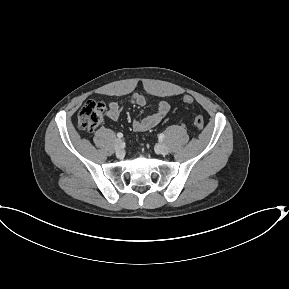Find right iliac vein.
<instances>
[{"instance_id": "right-iliac-vein-1", "label": "right iliac vein", "mask_w": 289, "mask_h": 289, "mask_svg": "<svg viewBox=\"0 0 289 289\" xmlns=\"http://www.w3.org/2000/svg\"><path fill=\"white\" fill-rule=\"evenodd\" d=\"M114 148H115V151H116V152H118V153H119V152H122L123 149H124V144H123L122 140L117 139V140L115 141Z\"/></svg>"}]
</instances>
